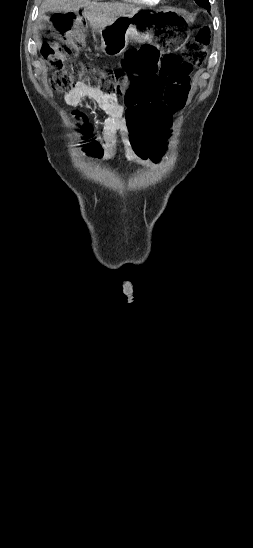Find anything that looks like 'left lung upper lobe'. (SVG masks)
Here are the masks:
<instances>
[{"label": "left lung upper lobe", "mask_w": 253, "mask_h": 548, "mask_svg": "<svg viewBox=\"0 0 253 548\" xmlns=\"http://www.w3.org/2000/svg\"><path fill=\"white\" fill-rule=\"evenodd\" d=\"M195 1H197V2H198V1L205 2V1H208V0H195Z\"/></svg>", "instance_id": "left-lung-upper-lobe-1"}]
</instances>
